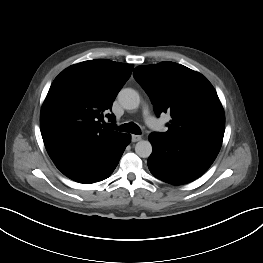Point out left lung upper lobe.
<instances>
[{
    "instance_id": "left-lung-upper-lobe-1",
    "label": "left lung upper lobe",
    "mask_w": 263,
    "mask_h": 263,
    "mask_svg": "<svg viewBox=\"0 0 263 263\" xmlns=\"http://www.w3.org/2000/svg\"><path fill=\"white\" fill-rule=\"evenodd\" d=\"M133 76L149 95L156 114L170 113L172 120L165 134L222 145L223 107L214 87L202 74L164 61L138 66Z\"/></svg>"
}]
</instances>
